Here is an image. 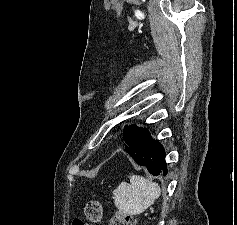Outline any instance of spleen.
<instances>
[{
    "mask_svg": "<svg viewBox=\"0 0 237 225\" xmlns=\"http://www.w3.org/2000/svg\"><path fill=\"white\" fill-rule=\"evenodd\" d=\"M114 191V204L124 214L138 215L151 206L161 194L160 186L138 175L129 177Z\"/></svg>",
    "mask_w": 237,
    "mask_h": 225,
    "instance_id": "3e777b00",
    "label": "spleen"
}]
</instances>
